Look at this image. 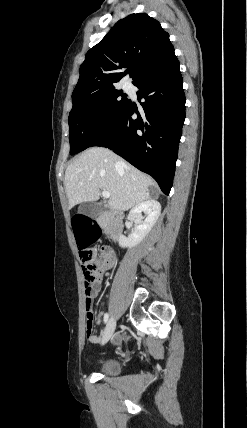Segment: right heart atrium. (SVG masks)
Segmentation results:
<instances>
[{
	"label": "right heart atrium",
	"mask_w": 247,
	"mask_h": 428,
	"mask_svg": "<svg viewBox=\"0 0 247 428\" xmlns=\"http://www.w3.org/2000/svg\"><path fill=\"white\" fill-rule=\"evenodd\" d=\"M95 119H96V121H100V120H101V115H100V113H96V115H95Z\"/></svg>",
	"instance_id": "1"
}]
</instances>
